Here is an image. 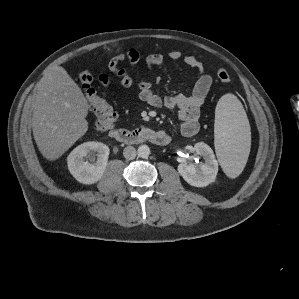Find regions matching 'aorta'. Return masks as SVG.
<instances>
[{
  "label": "aorta",
  "instance_id": "1",
  "mask_svg": "<svg viewBox=\"0 0 299 299\" xmlns=\"http://www.w3.org/2000/svg\"><path fill=\"white\" fill-rule=\"evenodd\" d=\"M138 156L141 158H147L150 155V148L147 145H141L137 150Z\"/></svg>",
  "mask_w": 299,
  "mask_h": 299
}]
</instances>
